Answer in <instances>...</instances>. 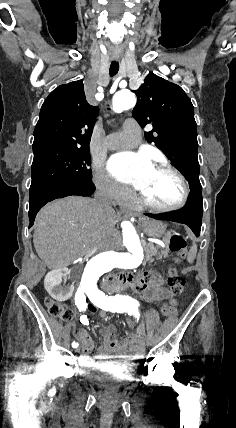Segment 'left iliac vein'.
<instances>
[{
	"mask_svg": "<svg viewBox=\"0 0 236 428\" xmlns=\"http://www.w3.org/2000/svg\"><path fill=\"white\" fill-rule=\"evenodd\" d=\"M146 339H147V343H152V338L150 335H147Z\"/></svg>",
	"mask_w": 236,
	"mask_h": 428,
	"instance_id": "4c4485c4",
	"label": "left iliac vein"
}]
</instances>
